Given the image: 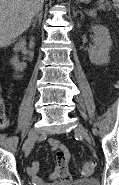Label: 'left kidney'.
Here are the masks:
<instances>
[{"label":"left kidney","instance_id":"left-kidney-1","mask_svg":"<svg viewBox=\"0 0 119 185\" xmlns=\"http://www.w3.org/2000/svg\"><path fill=\"white\" fill-rule=\"evenodd\" d=\"M94 33V46L88 50L89 59L94 65H105L110 61L109 52L112 40L107 27L103 25L92 26Z\"/></svg>","mask_w":119,"mask_h":185}]
</instances>
